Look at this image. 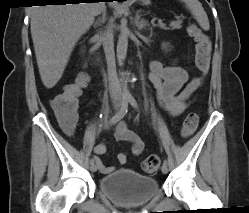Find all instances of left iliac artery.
<instances>
[{
	"instance_id": "1",
	"label": "left iliac artery",
	"mask_w": 249,
	"mask_h": 213,
	"mask_svg": "<svg viewBox=\"0 0 249 213\" xmlns=\"http://www.w3.org/2000/svg\"><path fill=\"white\" fill-rule=\"evenodd\" d=\"M129 102L133 108L138 109V104L133 97L129 98ZM167 163H168L167 160H164V164H167Z\"/></svg>"
}]
</instances>
